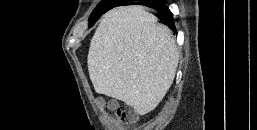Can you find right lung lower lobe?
Masks as SVG:
<instances>
[{
    "label": "right lung lower lobe",
    "mask_w": 257,
    "mask_h": 130,
    "mask_svg": "<svg viewBox=\"0 0 257 130\" xmlns=\"http://www.w3.org/2000/svg\"><path fill=\"white\" fill-rule=\"evenodd\" d=\"M139 4L155 9L157 11L156 16L160 19V23L168 25L173 30L175 29L173 14L164 4L163 0L143 1ZM119 5H126V3L121 2Z\"/></svg>",
    "instance_id": "right-lung-lower-lobe-1"
}]
</instances>
